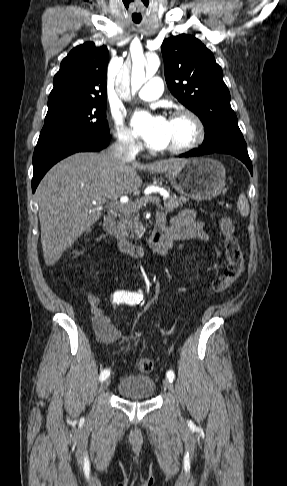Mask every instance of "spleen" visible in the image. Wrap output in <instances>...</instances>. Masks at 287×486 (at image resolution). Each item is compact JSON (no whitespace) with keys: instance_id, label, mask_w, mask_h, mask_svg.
I'll list each match as a JSON object with an SVG mask.
<instances>
[{"instance_id":"1","label":"spleen","mask_w":287,"mask_h":486,"mask_svg":"<svg viewBox=\"0 0 287 486\" xmlns=\"http://www.w3.org/2000/svg\"><path fill=\"white\" fill-rule=\"evenodd\" d=\"M237 208L240 211L242 217H246L249 214L250 208L248 200L244 193H241L238 198Z\"/></svg>"}]
</instances>
